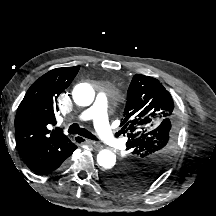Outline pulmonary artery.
Instances as JSON below:
<instances>
[{"label":"pulmonary artery","mask_w":216,"mask_h":216,"mask_svg":"<svg viewBox=\"0 0 216 216\" xmlns=\"http://www.w3.org/2000/svg\"><path fill=\"white\" fill-rule=\"evenodd\" d=\"M107 108V95L104 92H99L93 105L85 109L79 115V119L81 121L92 120L100 139L110 147L120 148L122 147L123 142L114 135V131L109 122Z\"/></svg>","instance_id":"pulmonary-artery-1"}]
</instances>
